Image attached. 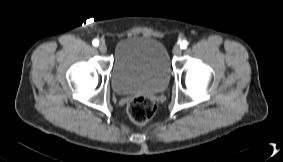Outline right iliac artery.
<instances>
[{"instance_id":"1","label":"right iliac artery","mask_w":283,"mask_h":162,"mask_svg":"<svg viewBox=\"0 0 283 162\" xmlns=\"http://www.w3.org/2000/svg\"><path fill=\"white\" fill-rule=\"evenodd\" d=\"M93 46H98L99 45V41L97 39L93 40L92 42Z\"/></svg>"}]
</instances>
